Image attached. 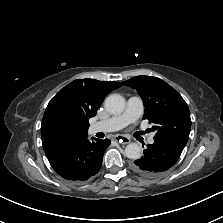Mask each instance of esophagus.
<instances>
[{"instance_id": "1", "label": "esophagus", "mask_w": 223, "mask_h": 223, "mask_svg": "<svg viewBox=\"0 0 223 223\" xmlns=\"http://www.w3.org/2000/svg\"><path fill=\"white\" fill-rule=\"evenodd\" d=\"M114 140L123 145L130 143V139L124 135H116L114 136Z\"/></svg>"}]
</instances>
